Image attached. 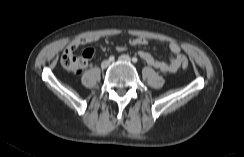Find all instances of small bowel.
Listing matches in <instances>:
<instances>
[{"label": "small bowel", "instance_id": "c3829d8e", "mask_svg": "<svg viewBox=\"0 0 244 157\" xmlns=\"http://www.w3.org/2000/svg\"><path fill=\"white\" fill-rule=\"evenodd\" d=\"M99 41L98 37L95 36H87L82 38H76L71 41L67 49L76 50L79 46L88 44V43H96ZM129 43L133 46H141L146 45L148 40L144 37H134L129 40ZM168 48L170 51V58L168 62L156 60L150 53L146 51H140L139 57L149 66L153 67L154 69L161 71L163 73H174L176 72L180 65H181V49L175 42H168ZM92 51V56L94 54V49L90 48ZM116 50L121 52L125 50L124 46H117Z\"/></svg>", "mask_w": 244, "mask_h": 157}]
</instances>
